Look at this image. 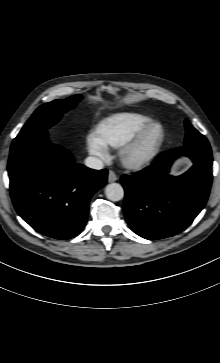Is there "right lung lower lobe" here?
<instances>
[{"mask_svg":"<svg viewBox=\"0 0 220 363\" xmlns=\"http://www.w3.org/2000/svg\"><path fill=\"white\" fill-rule=\"evenodd\" d=\"M107 173L77 164L68 151L50 147L47 131L11 148L8 161L17 213L39 233L63 240L84 228L90 198L106 184Z\"/></svg>","mask_w":220,"mask_h":363,"instance_id":"1","label":"right lung lower lobe"}]
</instances>
